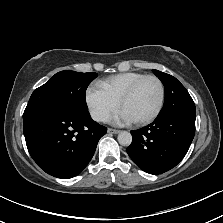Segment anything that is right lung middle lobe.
Masks as SVG:
<instances>
[{
  "label": "right lung middle lobe",
  "mask_w": 223,
  "mask_h": 223,
  "mask_svg": "<svg viewBox=\"0 0 223 223\" xmlns=\"http://www.w3.org/2000/svg\"><path fill=\"white\" fill-rule=\"evenodd\" d=\"M97 73H80L65 70L56 73L48 82L31 95L23 118L47 112L90 115L85 93Z\"/></svg>",
  "instance_id": "right-lung-middle-lobe-1"
}]
</instances>
